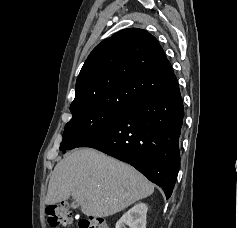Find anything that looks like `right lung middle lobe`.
Instances as JSON below:
<instances>
[{"label":"right lung middle lobe","instance_id":"1","mask_svg":"<svg viewBox=\"0 0 238 228\" xmlns=\"http://www.w3.org/2000/svg\"><path fill=\"white\" fill-rule=\"evenodd\" d=\"M128 106H94L72 112L66 124L60 150L65 152L95 136L117 120Z\"/></svg>","mask_w":238,"mask_h":228}]
</instances>
